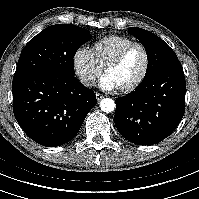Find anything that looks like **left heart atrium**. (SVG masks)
<instances>
[{
	"label": "left heart atrium",
	"mask_w": 199,
	"mask_h": 199,
	"mask_svg": "<svg viewBox=\"0 0 199 199\" xmlns=\"http://www.w3.org/2000/svg\"><path fill=\"white\" fill-rule=\"evenodd\" d=\"M100 86L107 91H113L116 89L115 85L113 84V82L107 77V76H103L100 82Z\"/></svg>",
	"instance_id": "1"
}]
</instances>
